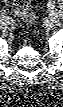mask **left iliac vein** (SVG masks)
Returning a JSON list of instances; mask_svg holds the SVG:
<instances>
[{"instance_id": "4c4485c4", "label": "left iliac vein", "mask_w": 63, "mask_h": 107, "mask_svg": "<svg viewBox=\"0 0 63 107\" xmlns=\"http://www.w3.org/2000/svg\"><path fill=\"white\" fill-rule=\"evenodd\" d=\"M49 16H50V19L53 23H57L60 19V14L57 10H50V13H49Z\"/></svg>"}]
</instances>
